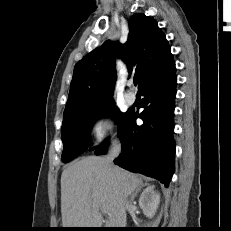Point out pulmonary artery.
Returning <instances> with one entry per match:
<instances>
[{
  "mask_svg": "<svg viewBox=\"0 0 231 231\" xmlns=\"http://www.w3.org/2000/svg\"><path fill=\"white\" fill-rule=\"evenodd\" d=\"M136 100V96L133 92H129L125 95V101L128 105H132Z\"/></svg>",
  "mask_w": 231,
  "mask_h": 231,
  "instance_id": "obj_1",
  "label": "pulmonary artery"
}]
</instances>
